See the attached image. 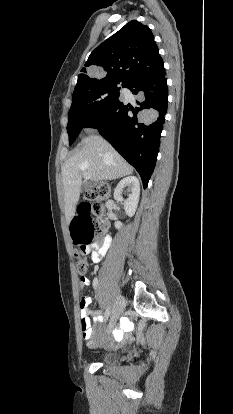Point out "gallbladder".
I'll list each match as a JSON object with an SVG mask.
<instances>
[{
    "mask_svg": "<svg viewBox=\"0 0 233 414\" xmlns=\"http://www.w3.org/2000/svg\"><path fill=\"white\" fill-rule=\"evenodd\" d=\"M92 183H90V182H85V183H83V185H82V189H83V191H88L91 187H92Z\"/></svg>",
    "mask_w": 233,
    "mask_h": 414,
    "instance_id": "gallbladder-1",
    "label": "gallbladder"
}]
</instances>
